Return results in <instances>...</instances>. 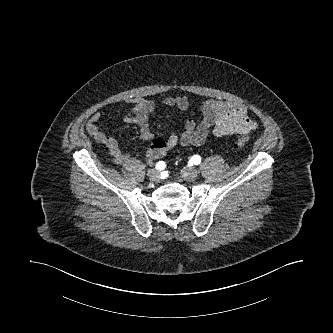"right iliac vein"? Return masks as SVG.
Masks as SVG:
<instances>
[{
	"instance_id": "63e3f726",
	"label": "right iliac vein",
	"mask_w": 333,
	"mask_h": 333,
	"mask_svg": "<svg viewBox=\"0 0 333 333\" xmlns=\"http://www.w3.org/2000/svg\"><path fill=\"white\" fill-rule=\"evenodd\" d=\"M147 175L151 181H158L160 177L159 172L155 169H149Z\"/></svg>"
}]
</instances>
